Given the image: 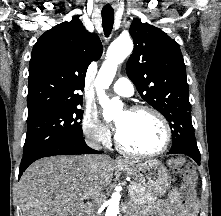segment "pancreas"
Wrapping results in <instances>:
<instances>
[{"label":"pancreas","instance_id":"obj_1","mask_svg":"<svg viewBox=\"0 0 221 216\" xmlns=\"http://www.w3.org/2000/svg\"><path fill=\"white\" fill-rule=\"evenodd\" d=\"M133 188H129V194L131 200L138 205L145 206L155 203L157 196L153 192L146 190L137 183L131 185Z\"/></svg>","mask_w":221,"mask_h":216}]
</instances>
